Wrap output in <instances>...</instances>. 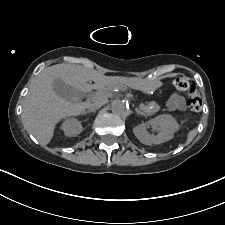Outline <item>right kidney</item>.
<instances>
[{"mask_svg":"<svg viewBox=\"0 0 225 225\" xmlns=\"http://www.w3.org/2000/svg\"><path fill=\"white\" fill-rule=\"evenodd\" d=\"M61 130L64 131L66 136H76L82 132L83 128L80 121L69 118L62 123Z\"/></svg>","mask_w":225,"mask_h":225,"instance_id":"right-kidney-1","label":"right kidney"}]
</instances>
